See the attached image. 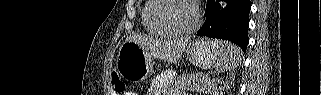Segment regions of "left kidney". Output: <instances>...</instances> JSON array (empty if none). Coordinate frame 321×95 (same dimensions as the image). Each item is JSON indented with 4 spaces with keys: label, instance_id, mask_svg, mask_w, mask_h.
I'll use <instances>...</instances> for the list:
<instances>
[{
    "label": "left kidney",
    "instance_id": "1",
    "mask_svg": "<svg viewBox=\"0 0 321 95\" xmlns=\"http://www.w3.org/2000/svg\"><path fill=\"white\" fill-rule=\"evenodd\" d=\"M220 90H221L220 95H222V89H220ZM223 90H224V88H223ZM213 95H219L218 91H215V93H213Z\"/></svg>",
    "mask_w": 321,
    "mask_h": 95
}]
</instances>
